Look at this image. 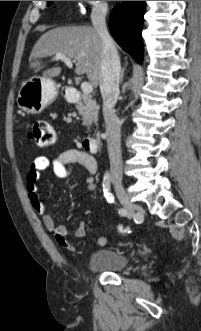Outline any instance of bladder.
<instances>
[{
  "label": "bladder",
  "instance_id": "obj_1",
  "mask_svg": "<svg viewBox=\"0 0 201 331\" xmlns=\"http://www.w3.org/2000/svg\"><path fill=\"white\" fill-rule=\"evenodd\" d=\"M128 260V255L122 251L98 249L89 256L86 266L93 271L122 272Z\"/></svg>",
  "mask_w": 201,
  "mask_h": 331
}]
</instances>
